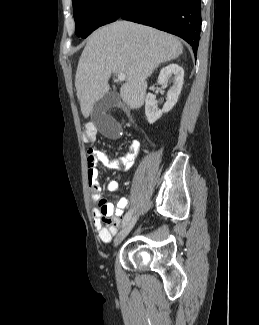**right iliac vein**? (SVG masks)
Segmentation results:
<instances>
[{"instance_id": "1", "label": "right iliac vein", "mask_w": 259, "mask_h": 325, "mask_svg": "<svg viewBox=\"0 0 259 325\" xmlns=\"http://www.w3.org/2000/svg\"><path fill=\"white\" fill-rule=\"evenodd\" d=\"M137 216H133L127 222V224L123 227V229L118 233V235L114 239V247H117L123 239L130 233L133 229L134 225L136 224Z\"/></svg>"}]
</instances>
